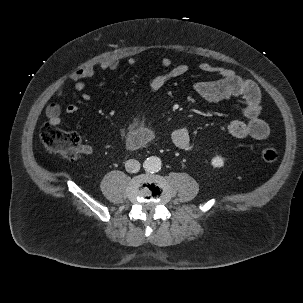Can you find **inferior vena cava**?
Instances as JSON below:
<instances>
[{
    "instance_id": "inferior-vena-cava-1",
    "label": "inferior vena cava",
    "mask_w": 303,
    "mask_h": 303,
    "mask_svg": "<svg viewBox=\"0 0 303 303\" xmlns=\"http://www.w3.org/2000/svg\"><path fill=\"white\" fill-rule=\"evenodd\" d=\"M125 168L129 173H136L140 170V163L135 159H129L125 163Z\"/></svg>"
}]
</instances>
